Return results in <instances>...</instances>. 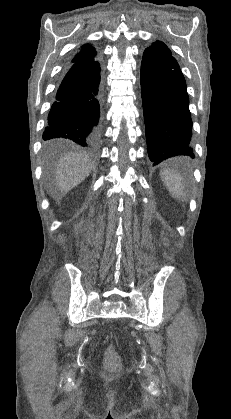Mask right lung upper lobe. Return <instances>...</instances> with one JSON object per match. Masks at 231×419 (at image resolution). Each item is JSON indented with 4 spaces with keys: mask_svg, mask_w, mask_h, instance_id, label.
Masks as SVG:
<instances>
[{
    "mask_svg": "<svg viewBox=\"0 0 231 419\" xmlns=\"http://www.w3.org/2000/svg\"><path fill=\"white\" fill-rule=\"evenodd\" d=\"M96 55L95 49L90 45H83L81 50L74 56L71 62L93 59Z\"/></svg>",
    "mask_w": 231,
    "mask_h": 419,
    "instance_id": "1",
    "label": "right lung upper lobe"
}]
</instances>
